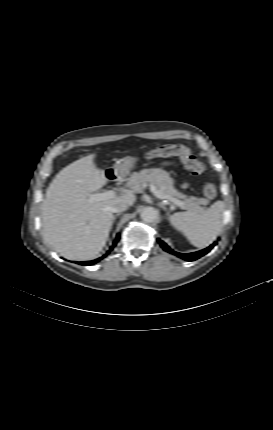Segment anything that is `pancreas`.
Instances as JSON below:
<instances>
[{"mask_svg":"<svg viewBox=\"0 0 273 430\" xmlns=\"http://www.w3.org/2000/svg\"><path fill=\"white\" fill-rule=\"evenodd\" d=\"M148 183L155 185L165 195L182 199V209L201 212L204 208L200 205L208 203V200L204 198H187V196L178 192L173 186V179L170 177L169 173L161 168L143 169L140 172H134L129 182L134 191L137 192L144 189Z\"/></svg>","mask_w":273,"mask_h":430,"instance_id":"1","label":"pancreas"}]
</instances>
